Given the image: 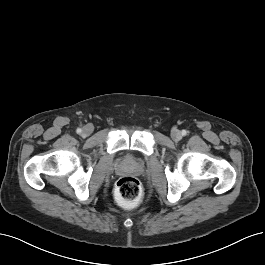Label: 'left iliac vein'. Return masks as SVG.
<instances>
[{"label":"left iliac vein","instance_id":"1","mask_svg":"<svg viewBox=\"0 0 265 265\" xmlns=\"http://www.w3.org/2000/svg\"><path fill=\"white\" fill-rule=\"evenodd\" d=\"M171 137L175 141H179L182 138L181 132L177 129H173L171 132Z\"/></svg>","mask_w":265,"mask_h":265}]
</instances>
